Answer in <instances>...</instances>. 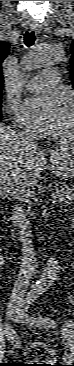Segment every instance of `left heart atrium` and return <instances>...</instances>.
<instances>
[{
    "label": "left heart atrium",
    "instance_id": "1",
    "mask_svg": "<svg viewBox=\"0 0 74 366\" xmlns=\"http://www.w3.org/2000/svg\"><path fill=\"white\" fill-rule=\"evenodd\" d=\"M63 99L57 93L28 99L22 106L21 117L26 124L50 132L56 127L62 111Z\"/></svg>",
    "mask_w": 74,
    "mask_h": 366
}]
</instances>
